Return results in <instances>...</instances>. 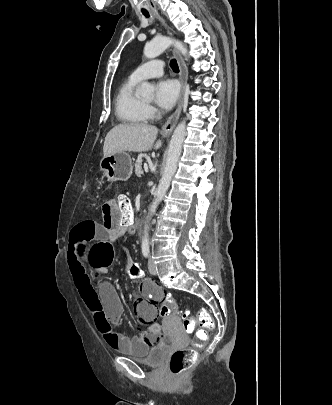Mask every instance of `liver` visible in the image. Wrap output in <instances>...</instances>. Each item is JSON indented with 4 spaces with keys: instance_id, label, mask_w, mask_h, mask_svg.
I'll return each instance as SVG.
<instances>
[{
    "instance_id": "liver-1",
    "label": "liver",
    "mask_w": 332,
    "mask_h": 405,
    "mask_svg": "<svg viewBox=\"0 0 332 405\" xmlns=\"http://www.w3.org/2000/svg\"><path fill=\"white\" fill-rule=\"evenodd\" d=\"M158 129L155 126L142 123H124L112 128L106 135L103 152L104 157L117 152L132 151L146 152L162 146V141L155 144Z\"/></svg>"
}]
</instances>
